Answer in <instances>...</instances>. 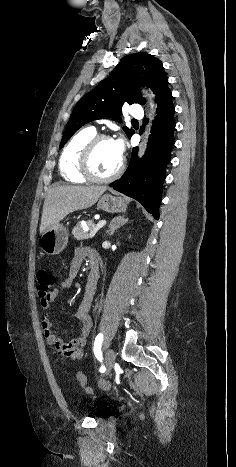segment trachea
I'll return each mask as SVG.
<instances>
[{"label":"trachea","instance_id":"obj_1","mask_svg":"<svg viewBox=\"0 0 236 467\" xmlns=\"http://www.w3.org/2000/svg\"><path fill=\"white\" fill-rule=\"evenodd\" d=\"M132 122H137V120H136V119H132Z\"/></svg>","mask_w":236,"mask_h":467}]
</instances>
